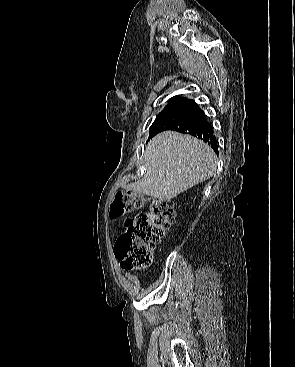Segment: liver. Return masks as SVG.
Wrapping results in <instances>:
<instances>
[{
  "instance_id": "obj_1",
  "label": "liver",
  "mask_w": 295,
  "mask_h": 367,
  "mask_svg": "<svg viewBox=\"0 0 295 367\" xmlns=\"http://www.w3.org/2000/svg\"><path fill=\"white\" fill-rule=\"evenodd\" d=\"M144 166V177L128 189L165 201L213 176L217 157L201 140L166 131L148 143Z\"/></svg>"
}]
</instances>
